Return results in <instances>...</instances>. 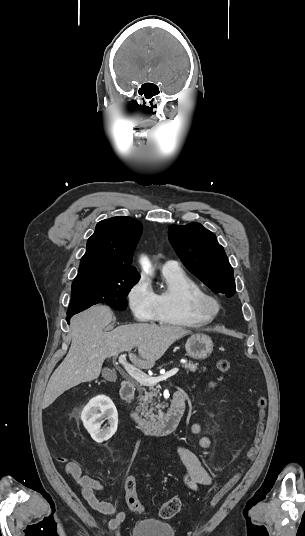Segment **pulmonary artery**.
Here are the masks:
<instances>
[{"mask_svg": "<svg viewBox=\"0 0 305 536\" xmlns=\"http://www.w3.org/2000/svg\"><path fill=\"white\" fill-rule=\"evenodd\" d=\"M178 265L175 261H166L163 265H162V269H172V268H177Z\"/></svg>", "mask_w": 305, "mask_h": 536, "instance_id": "e3ab8cb5", "label": "pulmonary artery"}]
</instances>
